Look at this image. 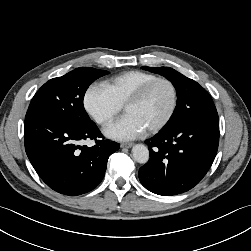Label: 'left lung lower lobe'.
Here are the masks:
<instances>
[{"mask_svg":"<svg viewBox=\"0 0 251 251\" xmlns=\"http://www.w3.org/2000/svg\"><path fill=\"white\" fill-rule=\"evenodd\" d=\"M189 104L179 123L145 141L150 160L139 169V179L155 194L170 196L190 190L215 159L219 118L212 98L201 92Z\"/></svg>","mask_w":251,"mask_h":251,"instance_id":"left-lung-lower-lobe-1","label":"left lung lower lobe"}]
</instances>
